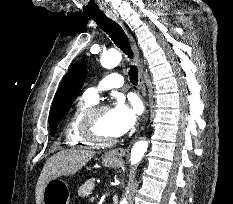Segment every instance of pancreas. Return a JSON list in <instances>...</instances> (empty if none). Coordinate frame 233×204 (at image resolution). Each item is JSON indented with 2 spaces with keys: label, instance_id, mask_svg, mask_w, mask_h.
I'll return each instance as SVG.
<instances>
[{
  "label": "pancreas",
  "instance_id": "pancreas-1",
  "mask_svg": "<svg viewBox=\"0 0 233 204\" xmlns=\"http://www.w3.org/2000/svg\"><path fill=\"white\" fill-rule=\"evenodd\" d=\"M95 187V178H91L83 183L78 189V195L87 197Z\"/></svg>",
  "mask_w": 233,
  "mask_h": 204
}]
</instances>
